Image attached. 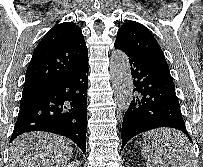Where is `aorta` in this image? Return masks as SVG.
<instances>
[{
  "label": "aorta",
  "mask_w": 203,
  "mask_h": 167,
  "mask_svg": "<svg viewBox=\"0 0 203 167\" xmlns=\"http://www.w3.org/2000/svg\"><path fill=\"white\" fill-rule=\"evenodd\" d=\"M110 77L115 101L119 109L126 111L133 97V80L126 54L113 50L110 57Z\"/></svg>",
  "instance_id": "aorta-1"
}]
</instances>
